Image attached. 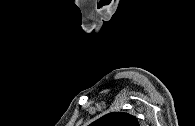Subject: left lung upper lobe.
<instances>
[{
    "instance_id": "left-lung-upper-lobe-1",
    "label": "left lung upper lobe",
    "mask_w": 195,
    "mask_h": 126,
    "mask_svg": "<svg viewBox=\"0 0 195 126\" xmlns=\"http://www.w3.org/2000/svg\"><path fill=\"white\" fill-rule=\"evenodd\" d=\"M90 126H139L137 118L125 112H112L94 121Z\"/></svg>"
}]
</instances>
